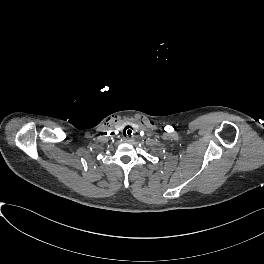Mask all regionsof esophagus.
Returning a JSON list of instances; mask_svg holds the SVG:
<instances>
[{"label":"esophagus","mask_w":264,"mask_h":264,"mask_svg":"<svg viewBox=\"0 0 264 264\" xmlns=\"http://www.w3.org/2000/svg\"><path fill=\"white\" fill-rule=\"evenodd\" d=\"M125 141H126V142H129V141H130V139H129V138H126V139H125Z\"/></svg>","instance_id":"34e87169"}]
</instances>
